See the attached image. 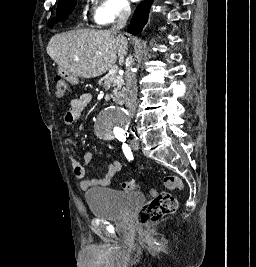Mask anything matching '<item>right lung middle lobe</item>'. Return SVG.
Returning a JSON list of instances; mask_svg holds the SVG:
<instances>
[{"label": "right lung middle lobe", "instance_id": "right-lung-middle-lobe-1", "mask_svg": "<svg viewBox=\"0 0 256 267\" xmlns=\"http://www.w3.org/2000/svg\"><path fill=\"white\" fill-rule=\"evenodd\" d=\"M76 5V0H62L58 2V7L56 11L57 18H52V21L49 23V26L52 27V24L56 21H63L67 16L73 11Z\"/></svg>", "mask_w": 256, "mask_h": 267}]
</instances>
